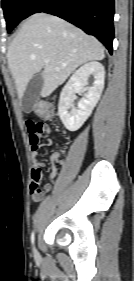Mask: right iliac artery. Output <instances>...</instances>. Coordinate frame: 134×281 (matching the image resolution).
Here are the masks:
<instances>
[{
	"label": "right iliac artery",
	"instance_id": "obj_1",
	"mask_svg": "<svg viewBox=\"0 0 134 281\" xmlns=\"http://www.w3.org/2000/svg\"><path fill=\"white\" fill-rule=\"evenodd\" d=\"M34 241H35V234H34V231H33L32 234H31V243H32V245H34Z\"/></svg>",
	"mask_w": 134,
	"mask_h": 281
}]
</instances>
